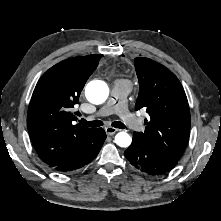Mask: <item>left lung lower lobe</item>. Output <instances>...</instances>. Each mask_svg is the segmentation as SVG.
<instances>
[{
	"label": "left lung lower lobe",
	"instance_id": "0a47b994",
	"mask_svg": "<svg viewBox=\"0 0 221 221\" xmlns=\"http://www.w3.org/2000/svg\"><path fill=\"white\" fill-rule=\"evenodd\" d=\"M124 155L136 169L152 176L167 173L178 162L177 159L145 142L137 133L134 134L132 144Z\"/></svg>",
	"mask_w": 221,
	"mask_h": 221
}]
</instances>
